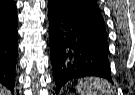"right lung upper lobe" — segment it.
Listing matches in <instances>:
<instances>
[{
  "label": "right lung upper lobe",
  "instance_id": "right-lung-upper-lobe-1",
  "mask_svg": "<svg viewBox=\"0 0 135 95\" xmlns=\"http://www.w3.org/2000/svg\"><path fill=\"white\" fill-rule=\"evenodd\" d=\"M16 14V5L13 0H0V17H10Z\"/></svg>",
  "mask_w": 135,
  "mask_h": 95
}]
</instances>
